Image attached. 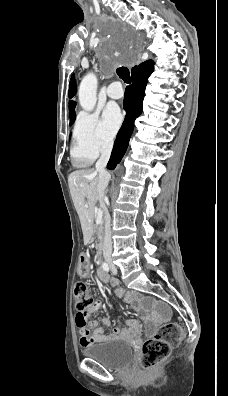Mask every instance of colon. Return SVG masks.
Instances as JSON below:
<instances>
[{
    "mask_svg": "<svg viewBox=\"0 0 228 396\" xmlns=\"http://www.w3.org/2000/svg\"><path fill=\"white\" fill-rule=\"evenodd\" d=\"M74 297L78 308L76 325L84 328L87 323L88 309L93 304L87 285L77 282L74 287ZM183 335V329L179 324L167 323L159 327L157 332L148 338L142 347L139 358L141 368L152 370L165 361L171 350L178 345Z\"/></svg>",
    "mask_w": 228,
    "mask_h": 396,
    "instance_id": "1",
    "label": "colon"
}]
</instances>
